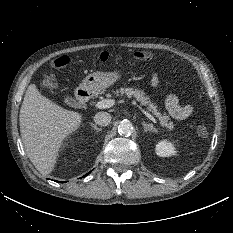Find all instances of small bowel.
Masks as SVG:
<instances>
[{
  "mask_svg": "<svg viewBox=\"0 0 233 233\" xmlns=\"http://www.w3.org/2000/svg\"><path fill=\"white\" fill-rule=\"evenodd\" d=\"M150 82L153 88L158 87L159 78L156 73L151 74ZM165 104L169 114L177 120L186 119L193 113V107L190 104H180L178 97L174 94L167 96Z\"/></svg>",
  "mask_w": 233,
  "mask_h": 233,
  "instance_id": "c3829d8e",
  "label": "small bowel"
}]
</instances>
